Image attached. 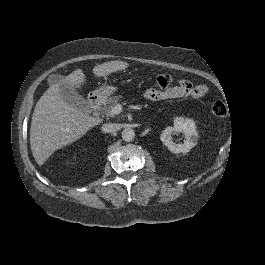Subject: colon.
<instances>
[{
  "label": "colon",
  "mask_w": 265,
  "mask_h": 265,
  "mask_svg": "<svg viewBox=\"0 0 265 265\" xmlns=\"http://www.w3.org/2000/svg\"><path fill=\"white\" fill-rule=\"evenodd\" d=\"M156 83L160 87L166 88L173 83V78L169 74H160L156 78ZM210 112L213 116L222 118L227 115L228 108L223 101L218 100L211 105Z\"/></svg>",
  "instance_id": "colon-1"
}]
</instances>
